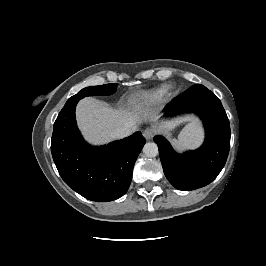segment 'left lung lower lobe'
I'll list each match as a JSON object with an SVG mask.
<instances>
[{
  "label": "left lung lower lobe",
  "mask_w": 266,
  "mask_h": 266,
  "mask_svg": "<svg viewBox=\"0 0 266 266\" xmlns=\"http://www.w3.org/2000/svg\"><path fill=\"white\" fill-rule=\"evenodd\" d=\"M195 111L203 120L205 141L184 154L174 151L162 136L154 137L163 171L177 189L189 191L211 183L224 167L230 149V124L219 98L203 85H195L175 97L164 108V115Z\"/></svg>",
  "instance_id": "left-lung-lower-lobe-1"
}]
</instances>
